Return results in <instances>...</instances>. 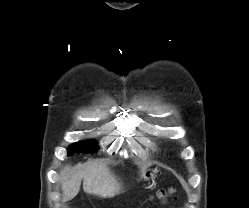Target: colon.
Instances as JSON below:
<instances>
[{"label":"colon","mask_w":249,"mask_h":208,"mask_svg":"<svg viewBox=\"0 0 249 208\" xmlns=\"http://www.w3.org/2000/svg\"><path fill=\"white\" fill-rule=\"evenodd\" d=\"M174 192L175 190L173 188L169 190L160 189L157 191L156 196L160 200H165L168 195L173 194Z\"/></svg>","instance_id":"colon-1"}]
</instances>
